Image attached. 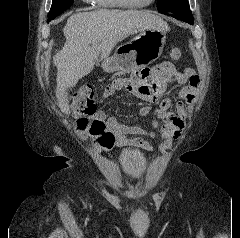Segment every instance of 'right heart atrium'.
Instances as JSON below:
<instances>
[{
    "mask_svg": "<svg viewBox=\"0 0 240 238\" xmlns=\"http://www.w3.org/2000/svg\"><path fill=\"white\" fill-rule=\"evenodd\" d=\"M83 1H85V2H91L92 0H83Z\"/></svg>",
    "mask_w": 240,
    "mask_h": 238,
    "instance_id": "1",
    "label": "right heart atrium"
}]
</instances>
